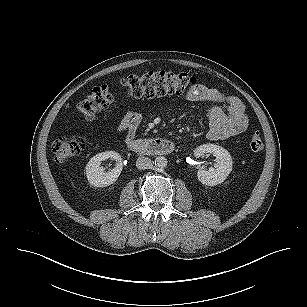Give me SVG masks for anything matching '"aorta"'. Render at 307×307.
Wrapping results in <instances>:
<instances>
[{"label":"aorta","instance_id":"aorta-1","mask_svg":"<svg viewBox=\"0 0 307 307\" xmlns=\"http://www.w3.org/2000/svg\"><path fill=\"white\" fill-rule=\"evenodd\" d=\"M167 163H168L167 159L163 156H158L155 158V166L157 168L163 169L167 166Z\"/></svg>","mask_w":307,"mask_h":307}]
</instances>
